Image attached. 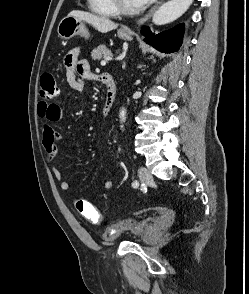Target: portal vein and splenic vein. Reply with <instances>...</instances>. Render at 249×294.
<instances>
[{
  "label": "portal vein and splenic vein",
  "mask_w": 249,
  "mask_h": 294,
  "mask_svg": "<svg viewBox=\"0 0 249 294\" xmlns=\"http://www.w3.org/2000/svg\"><path fill=\"white\" fill-rule=\"evenodd\" d=\"M109 60H111V58L110 57H106L104 60L101 61V65L102 66H105L106 65V62L109 61Z\"/></svg>",
  "instance_id": "portal-vein-and-splenic-vein-1"
}]
</instances>
